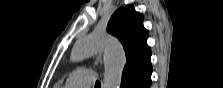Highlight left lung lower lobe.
Instances as JSON below:
<instances>
[{
  "label": "left lung lower lobe",
  "mask_w": 223,
  "mask_h": 88,
  "mask_svg": "<svg viewBox=\"0 0 223 88\" xmlns=\"http://www.w3.org/2000/svg\"><path fill=\"white\" fill-rule=\"evenodd\" d=\"M151 73V62L141 69H133L122 75L120 88H149L151 85Z\"/></svg>",
  "instance_id": "obj_1"
}]
</instances>
